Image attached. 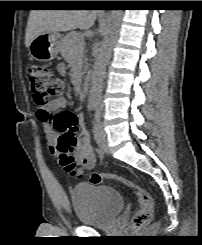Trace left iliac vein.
<instances>
[{
  "mask_svg": "<svg viewBox=\"0 0 202 245\" xmlns=\"http://www.w3.org/2000/svg\"><path fill=\"white\" fill-rule=\"evenodd\" d=\"M94 139L97 145L106 153H109V146H108V135L107 132L104 130V125L102 122L97 121L94 125Z\"/></svg>",
  "mask_w": 202,
  "mask_h": 245,
  "instance_id": "left-iliac-vein-1",
  "label": "left iliac vein"
}]
</instances>
